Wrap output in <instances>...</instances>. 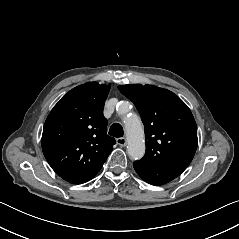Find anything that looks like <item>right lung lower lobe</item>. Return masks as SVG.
<instances>
[{"mask_svg":"<svg viewBox=\"0 0 239 239\" xmlns=\"http://www.w3.org/2000/svg\"><path fill=\"white\" fill-rule=\"evenodd\" d=\"M92 178H87V179L66 178L64 180H66L70 183H73V184H81V183H85V182L91 180Z\"/></svg>","mask_w":239,"mask_h":239,"instance_id":"right-lung-lower-lobe-1","label":"right lung lower lobe"}]
</instances>
